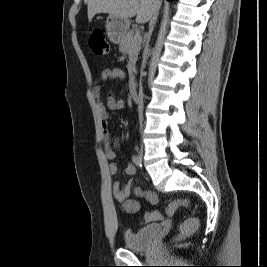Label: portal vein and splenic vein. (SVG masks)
<instances>
[{
  "instance_id": "portal-vein-and-splenic-vein-1",
  "label": "portal vein and splenic vein",
  "mask_w": 267,
  "mask_h": 267,
  "mask_svg": "<svg viewBox=\"0 0 267 267\" xmlns=\"http://www.w3.org/2000/svg\"><path fill=\"white\" fill-rule=\"evenodd\" d=\"M138 40H142V37L137 33L136 36H135Z\"/></svg>"
}]
</instances>
